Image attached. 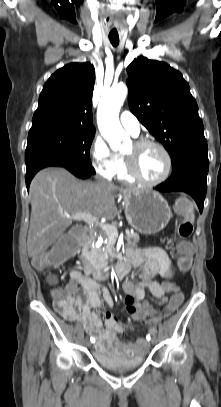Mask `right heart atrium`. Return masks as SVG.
Returning <instances> with one entry per match:
<instances>
[{"label": "right heart atrium", "mask_w": 221, "mask_h": 407, "mask_svg": "<svg viewBox=\"0 0 221 407\" xmlns=\"http://www.w3.org/2000/svg\"><path fill=\"white\" fill-rule=\"evenodd\" d=\"M90 156L93 167L104 177H114L121 164V156L112 151L101 137L92 141Z\"/></svg>", "instance_id": "right-heart-atrium-1"}]
</instances>
